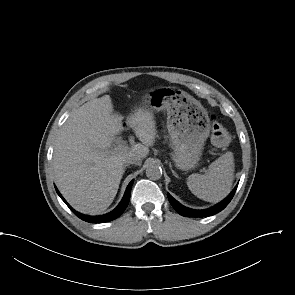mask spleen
<instances>
[{"label":"spleen","mask_w":295,"mask_h":295,"mask_svg":"<svg viewBox=\"0 0 295 295\" xmlns=\"http://www.w3.org/2000/svg\"><path fill=\"white\" fill-rule=\"evenodd\" d=\"M233 179V153L226 152L209 165L204 175H190L187 179V186L198 198L215 203L230 193Z\"/></svg>","instance_id":"3e777b00"}]
</instances>
